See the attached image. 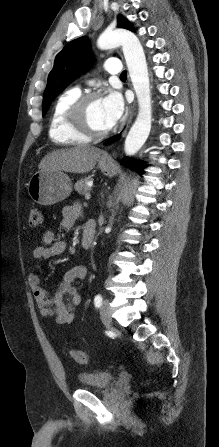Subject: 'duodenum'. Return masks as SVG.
Returning a JSON list of instances; mask_svg holds the SVG:
<instances>
[{"label":"duodenum","mask_w":219,"mask_h":447,"mask_svg":"<svg viewBox=\"0 0 219 447\" xmlns=\"http://www.w3.org/2000/svg\"><path fill=\"white\" fill-rule=\"evenodd\" d=\"M94 236H95V223L91 220H88L85 222V226L83 229L82 244H83V248L85 250L90 248V246L93 242Z\"/></svg>","instance_id":"410a0bca"}]
</instances>
